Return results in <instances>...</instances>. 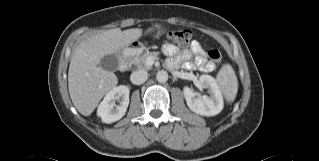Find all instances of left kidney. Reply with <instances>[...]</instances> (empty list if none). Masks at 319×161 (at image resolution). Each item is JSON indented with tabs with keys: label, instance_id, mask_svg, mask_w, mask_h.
<instances>
[{
	"label": "left kidney",
	"instance_id": "left-kidney-1",
	"mask_svg": "<svg viewBox=\"0 0 319 161\" xmlns=\"http://www.w3.org/2000/svg\"><path fill=\"white\" fill-rule=\"evenodd\" d=\"M201 88L207 87L210 96H197L189 87H184L183 93L186 99L187 106L191 111L202 116H215L223 109V97L221 90L210 75H201L199 78Z\"/></svg>",
	"mask_w": 319,
	"mask_h": 161
}]
</instances>
